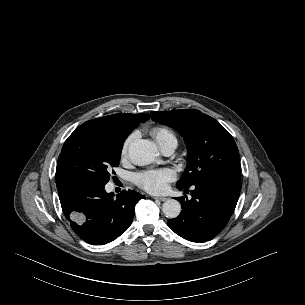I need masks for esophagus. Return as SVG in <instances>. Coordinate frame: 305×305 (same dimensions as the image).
Returning <instances> with one entry per match:
<instances>
[{
  "label": "esophagus",
  "mask_w": 305,
  "mask_h": 305,
  "mask_svg": "<svg viewBox=\"0 0 305 305\" xmlns=\"http://www.w3.org/2000/svg\"><path fill=\"white\" fill-rule=\"evenodd\" d=\"M153 199L159 200V201H166L168 198L167 197H153Z\"/></svg>",
  "instance_id": "1"
}]
</instances>
